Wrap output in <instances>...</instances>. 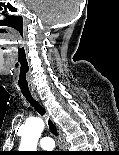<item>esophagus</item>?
Listing matches in <instances>:
<instances>
[{"label":"esophagus","mask_w":119,"mask_h":155,"mask_svg":"<svg viewBox=\"0 0 119 155\" xmlns=\"http://www.w3.org/2000/svg\"><path fill=\"white\" fill-rule=\"evenodd\" d=\"M33 97L41 104V105H44L43 104V101L41 99V96L38 94V93H33Z\"/></svg>","instance_id":"esophagus-1"}]
</instances>
